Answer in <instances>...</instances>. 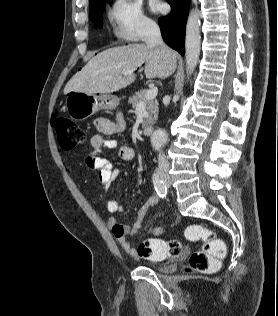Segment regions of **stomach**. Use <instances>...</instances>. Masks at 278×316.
I'll return each mask as SVG.
<instances>
[{"mask_svg":"<svg viewBox=\"0 0 278 316\" xmlns=\"http://www.w3.org/2000/svg\"><path fill=\"white\" fill-rule=\"evenodd\" d=\"M120 99L110 94L94 95L82 92H70L66 96L65 108L72 119L83 120L97 111L113 110Z\"/></svg>","mask_w":278,"mask_h":316,"instance_id":"1","label":"stomach"}]
</instances>
